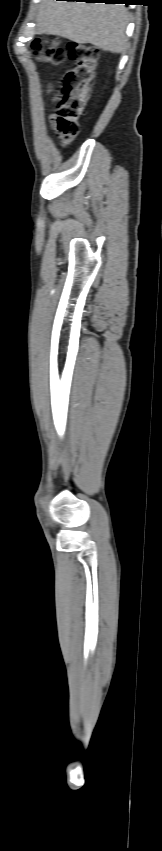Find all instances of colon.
Here are the masks:
<instances>
[{
  "mask_svg": "<svg viewBox=\"0 0 162 851\" xmlns=\"http://www.w3.org/2000/svg\"><path fill=\"white\" fill-rule=\"evenodd\" d=\"M31 48L39 60L53 65L62 63L66 54L72 61L61 80L56 128L73 141L79 133V120L84 113L89 86L97 68L98 50L94 46L70 43L65 52L57 39H35Z\"/></svg>",
  "mask_w": 162,
  "mask_h": 851,
  "instance_id": "colon-1",
  "label": "colon"
}]
</instances>
